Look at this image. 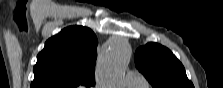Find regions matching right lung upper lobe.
<instances>
[{"mask_svg":"<svg viewBox=\"0 0 223 88\" xmlns=\"http://www.w3.org/2000/svg\"><path fill=\"white\" fill-rule=\"evenodd\" d=\"M96 35L70 26L48 39L37 56L31 88H89L95 85Z\"/></svg>","mask_w":223,"mask_h":88,"instance_id":"1","label":"right lung upper lobe"}]
</instances>
